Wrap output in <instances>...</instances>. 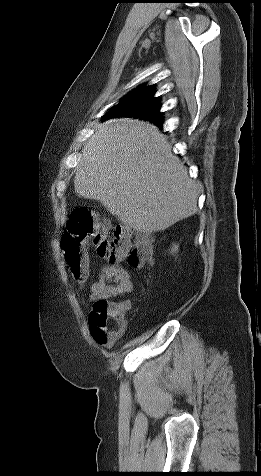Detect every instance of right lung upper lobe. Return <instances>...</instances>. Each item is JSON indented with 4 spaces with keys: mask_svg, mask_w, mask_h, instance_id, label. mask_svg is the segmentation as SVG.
I'll use <instances>...</instances> for the list:
<instances>
[{
    "mask_svg": "<svg viewBox=\"0 0 261 476\" xmlns=\"http://www.w3.org/2000/svg\"><path fill=\"white\" fill-rule=\"evenodd\" d=\"M153 86H141L128 94L121 102H154Z\"/></svg>",
    "mask_w": 261,
    "mask_h": 476,
    "instance_id": "obj_1",
    "label": "right lung upper lobe"
}]
</instances>
